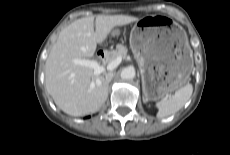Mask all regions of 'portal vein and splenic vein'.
<instances>
[{
    "mask_svg": "<svg viewBox=\"0 0 230 155\" xmlns=\"http://www.w3.org/2000/svg\"><path fill=\"white\" fill-rule=\"evenodd\" d=\"M121 61H122V57L118 56L112 61H110L105 67L101 65L99 62H97L96 60L73 59V63L91 68L95 75H99L105 72L106 70L107 71L114 70L121 63Z\"/></svg>",
    "mask_w": 230,
    "mask_h": 155,
    "instance_id": "obj_1",
    "label": "portal vein and splenic vein"
}]
</instances>
